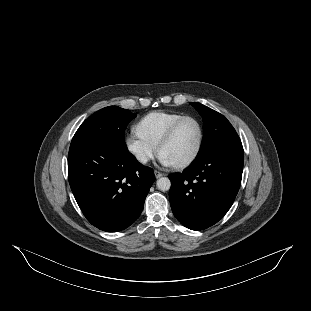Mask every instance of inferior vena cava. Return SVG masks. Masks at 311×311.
<instances>
[{"mask_svg":"<svg viewBox=\"0 0 311 311\" xmlns=\"http://www.w3.org/2000/svg\"><path fill=\"white\" fill-rule=\"evenodd\" d=\"M138 161H140L141 163H146L148 162V157L145 155H139L137 156Z\"/></svg>","mask_w":311,"mask_h":311,"instance_id":"602c4592","label":"inferior vena cava"}]
</instances>
